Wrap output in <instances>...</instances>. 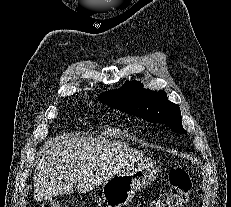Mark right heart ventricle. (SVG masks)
<instances>
[{
	"mask_svg": "<svg viewBox=\"0 0 231 207\" xmlns=\"http://www.w3.org/2000/svg\"><path fill=\"white\" fill-rule=\"evenodd\" d=\"M108 131L110 133H116L118 131V129H116V128H110V129H108Z\"/></svg>",
	"mask_w": 231,
	"mask_h": 207,
	"instance_id": "e07e8e85",
	"label": "right heart ventricle"
}]
</instances>
